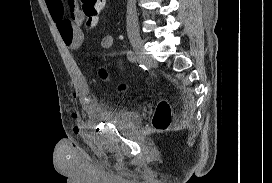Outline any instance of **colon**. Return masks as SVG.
Masks as SVG:
<instances>
[{"instance_id":"5ec220e1","label":"colon","mask_w":272,"mask_h":183,"mask_svg":"<svg viewBox=\"0 0 272 183\" xmlns=\"http://www.w3.org/2000/svg\"><path fill=\"white\" fill-rule=\"evenodd\" d=\"M73 2V0H71ZM81 7V15L85 18L86 24L88 26L93 25L100 12L105 6V0H79ZM100 77L103 80H108L109 76L105 69H101L99 72ZM125 86L123 84L118 86V90H124ZM171 107L166 101H161L158 103L153 119L152 125L158 131H164L169 128L171 124Z\"/></svg>"}]
</instances>
